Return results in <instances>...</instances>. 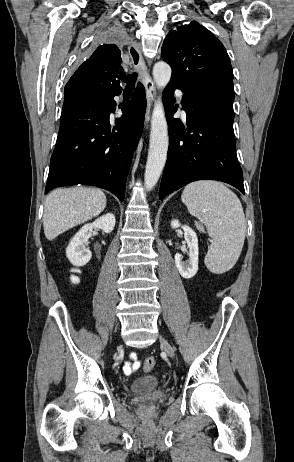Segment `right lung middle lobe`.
<instances>
[{
    "instance_id": "1",
    "label": "right lung middle lobe",
    "mask_w": 294,
    "mask_h": 462,
    "mask_svg": "<svg viewBox=\"0 0 294 462\" xmlns=\"http://www.w3.org/2000/svg\"><path fill=\"white\" fill-rule=\"evenodd\" d=\"M123 37V32L118 27H113L101 32L98 35L96 44H104L109 42H117ZM96 97L84 96V97H75L68 100H64L63 110L70 107L84 106L95 100Z\"/></svg>"
}]
</instances>
